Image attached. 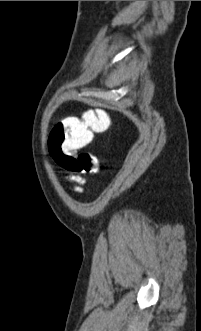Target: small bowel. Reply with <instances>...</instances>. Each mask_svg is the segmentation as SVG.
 I'll use <instances>...</instances> for the list:
<instances>
[{
	"instance_id": "small-bowel-1",
	"label": "small bowel",
	"mask_w": 201,
	"mask_h": 331,
	"mask_svg": "<svg viewBox=\"0 0 201 331\" xmlns=\"http://www.w3.org/2000/svg\"><path fill=\"white\" fill-rule=\"evenodd\" d=\"M71 179H72L73 181H75V182L82 183V179H80V178H78V177H72ZM74 190H75L76 192H81V191H82V188L79 187V186H77V187H75Z\"/></svg>"
}]
</instances>
